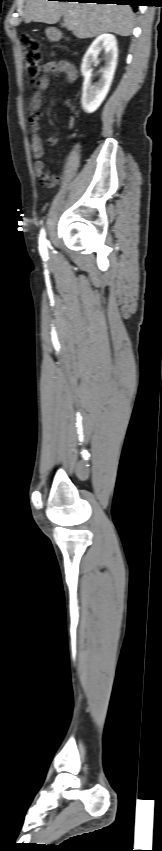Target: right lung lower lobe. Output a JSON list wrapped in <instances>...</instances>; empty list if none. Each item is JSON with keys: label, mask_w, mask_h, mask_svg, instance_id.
I'll return each instance as SVG.
<instances>
[{"label": "right lung lower lobe", "mask_w": 162, "mask_h": 851, "mask_svg": "<svg viewBox=\"0 0 162 851\" xmlns=\"http://www.w3.org/2000/svg\"><path fill=\"white\" fill-rule=\"evenodd\" d=\"M70 1V0H59ZM77 2L98 3V4H117V5H135L138 6L139 0H74Z\"/></svg>", "instance_id": "obj_1"}]
</instances>
